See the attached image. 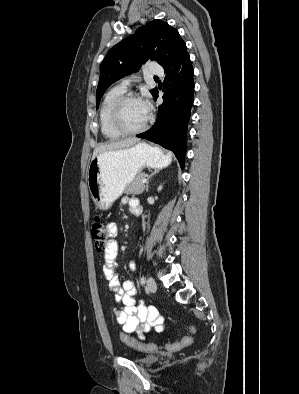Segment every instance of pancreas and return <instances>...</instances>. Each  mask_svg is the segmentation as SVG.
Masks as SVG:
<instances>
[{"mask_svg":"<svg viewBox=\"0 0 299 394\" xmlns=\"http://www.w3.org/2000/svg\"><path fill=\"white\" fill-rule=\"evenodd\" d=\"M145 178L144 173H139L132 183L128 184L125 188L126 194L139 195L142 194L145 190V185L142 183V180Z\"/></svg>","mask_w":299,"mask_h":394,"instance_id":"obj_1","label":"pancreas"}]
</instances>
